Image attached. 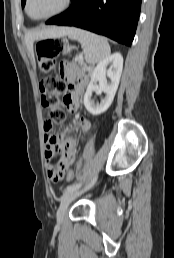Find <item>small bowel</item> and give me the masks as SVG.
Returning <instances> with one entry per match:
<instances>
[{"instance_id": "obj_1", "label": "small bowel", "mask_w": 174, "mask_h": 258, "mask_svg": "<svg viewBox=\"0 0 174 258\" xmlns=\"http://www.w3.org/2000/svg\"><path fill=\"white\" fill-rule=\"evenodd\" d=\"M60 76L73 85L71 93L67 96L70 101L65 100V105L72 111L78 108V97L83 91L88 77L80 69L76 62L64 61L60 65ZM92 118H80L74 126L90 129ZM52 126L46 121L44 124L45 131V158L48 166V174L50 183H63V175L67 173V169L73 164L76 156L78 143L74 139H60L51 134ZM64 151L62 162H53L56 153ZM67 177V176H66Z\"/></svg>"}]
</instances>
